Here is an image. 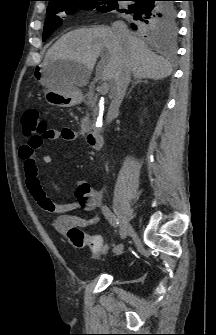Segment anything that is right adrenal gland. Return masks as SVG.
I'll list each match as a JSON object with an SVG mask.
<instances>
[{
    "label": "right adrenal gland",
    "instance_id": "right-adrenal-gland-1",
    "mask_svg": "<svg viewBox=\"0 0 216 335\" xmlns=\"http://www.w3.org/2000/svg\"><path fill=\"white\" fill-rule=\"evenodd\" d=\"M147 82V80H141V79H134L133 81H132V86H131V88H130V90L128 91V93H127V95L126 96H129V94L131 93V91H132V89L136 86V85H138V84H140V83H146Z\"/></svg>",
    "mask_w": 216,
    "mask_h": 335
}]
</instances>
